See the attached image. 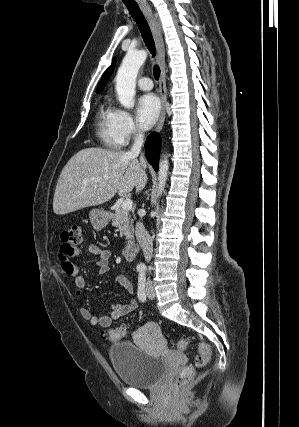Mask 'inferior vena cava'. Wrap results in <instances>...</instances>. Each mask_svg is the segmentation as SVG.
Listing matches in <instances>:
<instances>
[{
    "label": "inferior vena cava",
    "instance_id": "obj_1",
    "mask_svg": "<svg viewBox=\"0 0 299 427\" xmlns=\"http://www.w3.org/2000/svg\"><path fill=\"white\" fill-rule=\"evenodd\" d=\"M143 142H144L143 132L141 130H138V133L136 134V137L134 140V144L130 150V154L138 155L141 151ZM140 164L142 167L146 168L145 158H144V155L142 153L140 156ZM139 215L141 216L140 212H139ZM135 235H136V239H137L138 243L140 244V246L143 250L145 260L147 262H149L151 260L152 252H153L152 238L148 234L143 223L140 221L136 223Z\"/></svg>",
    "mask_w": 299,
    "mask_h": 427
}]
</instances>
